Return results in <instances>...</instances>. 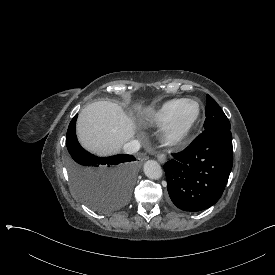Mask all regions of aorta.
Segmentation results:
<instances>
[{
    "label": "aorta",
    "instance_id": "762f6f07",
    "mask_svg": "<svg viewBox=\"0 0 275 275\" xmlns=\"http://www.w3.org/2000/svg\"><path fill=\"white\" fill-rule=\"evenodd\" d=\"M144 173L150 179H159L162 176V169L158 162L148 160L144 163Z\"/></svg>",
    "mask_w": 275,
    "mask_h": 275
}]
</instances>
